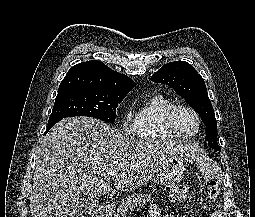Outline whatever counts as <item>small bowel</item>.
Returning a JSON list of instances; mask_svg holds the SVG:
<instances>
[{"label":"small bowel","mask_w":255,"mask_h":217,"mask_svg":"<svg viewBox=\"0 0 255 217\" xmlns=\"http://www.w3.org/2000/svg\"><path fill=\"white\" fill-rule=\"evenodd\" d=\"M160 209L157 205L152 204L149 206L147 211V217H160ZM165 217H174L173 215H166ZM209 217H222L219 212H212L209 214Z\"/></svg>","instance_id":"c3829d8e"}]
</instances>
